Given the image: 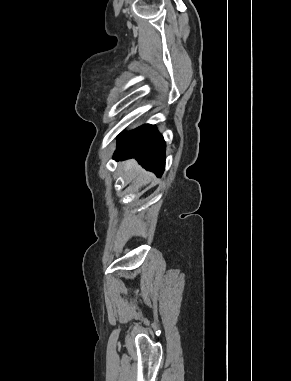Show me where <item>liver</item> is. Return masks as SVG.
Segmentation results:
<instances>
[{"label":"liver","mask_w":291,"mask_h":381,"mask_svg":"<svg viewBox=\"0 0 291 381\" xmlns=\"http://www.w3.org/2000/svg\"><path fill=\"white\" fill-rule=\"evenodd\" d=\"M136 167V161L135 160H129L124 163V171L125 172H132ZM148 178H145V180H142V183H147Z\"/></svg>","instance_id":"1"}]
</instances>
